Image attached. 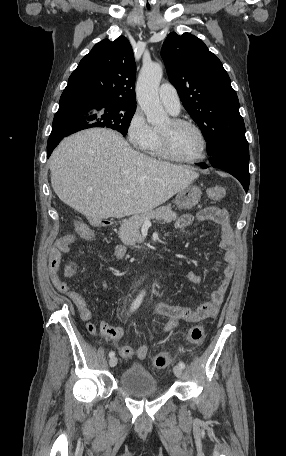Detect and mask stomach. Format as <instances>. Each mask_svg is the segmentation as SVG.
Masks as SVG:
<instances>
[{
    "instance_id": "obj_1",
    "label": "stomach",
    "mask_w": 286,
    "mask_h": 456,
    "mask_svg": "<svg viewBox=\"0 0 286 456\" xmlns=\"http://www.w3.org/2000/svg\"><path fill=\"white\" fill-rule=\"evenodd\" d=\"M201 195L202 192L199 187L189 185L178 192L175 203L179 209H191L198 204Z\"/></svg>"
}]
</instances>
